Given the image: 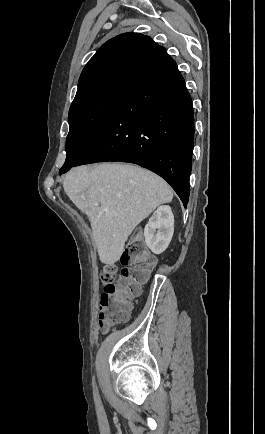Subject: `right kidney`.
I'll return each instance as SVG.
<instances>
[{"label": "right kidney", "mask_w": 265, "mask_h": 434, "mask_svg": "<svg viewBox=\"0 0 265 434\" xmlns=\"http://www.w3.org/2000/svg\"><path fill=\"white\" fill-rule=\"evenodd\" d=\"M174 234V216L170 206H159L144 228L145 242L153 254H162Z\"/></svg>", "instance_id": "1"}]
</instances>
